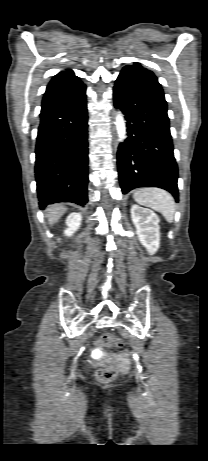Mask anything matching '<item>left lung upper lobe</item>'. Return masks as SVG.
<instances>
[{
  "label": "left lung upper lobe",
  "mask_w": 208,
  "mask_h": 461,
  "mask_svg": "<svg viewBox=\"0 0 208 461\" xmlns=\"http://www.w3.org/2000/svg\"><path fill=\"white\" fill-rule=\"evenodd\" d=\"M123 70H130V71H136V72H141L143 73L145 76H148L149 78L155 80V81H158L157 77L155 76V74L144 68L140 63L138 62H134L133 65H127L123 68Z\"/></svg>",
  "instance_id": "obj_1"
}]
</instances>
